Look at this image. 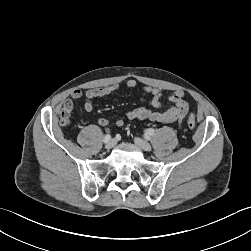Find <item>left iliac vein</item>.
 I'll use <instances>...</instances> for the list:
<instances>
[{
  "label": "left iliac vein",
  "mask_w": 251,
  "mask_h": 251,
  "mask_svg": "<svg viewBox=\"0 0 251 251\" xmlns=\"http://www.w3.org/2000/svg\"><path fill=\"white\" fill-rule=\"evenodd\" d=\"M134 142L142 150H145V151H150L151 150V145L147 141H145V140H143L141 138H138V137L135 138Z\"/></svg>",
  "instance_id": "4c4485c4"
}]
</instances>
